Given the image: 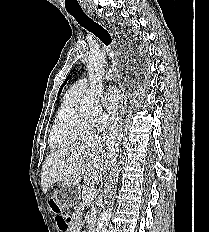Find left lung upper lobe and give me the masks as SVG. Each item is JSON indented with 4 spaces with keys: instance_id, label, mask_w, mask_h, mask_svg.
<instances>
[{
    "instance_id": "obj_1",
    "label": "left lung upper lobe",
    "mask_w": 209,
    "mask_h": 232,
    "mask_svg": "<svg viewBox=\"0 0 209 232\" xmlns=\"http://www.w3.org/2000/svg\"><path fill=\"white\" fill-rule=\"evenodd\" d=\"M68 77H69V76H68ZM67 79H68V78H67ZM67 79L65 80L64 85L66 84ZM64 85H63V86H64ZM61 91H62V88H61L60 92H61Z\"/></svg>"
}]
</instances>
